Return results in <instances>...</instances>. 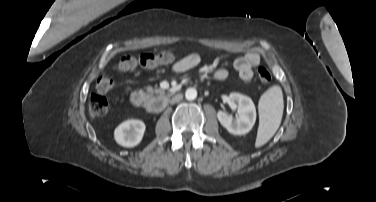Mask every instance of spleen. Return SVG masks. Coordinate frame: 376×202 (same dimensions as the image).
<instances>
[{"mask_svg": "<svg viewBox=\"0 0 376 202\" xmlns=\"http://www.w3.org/2000/svg\"><path fill=\"white\" fill-rule=\"evenodd\" d=\"M283 94L279 86L268 89L259 100L260 124L255 146L267 143L280 126L283 114Z\"/></svg>", "mask_w": 376, "mask_h": 202, "instance_id": "3e777b00", "label": "spleen"}]
</instances>
